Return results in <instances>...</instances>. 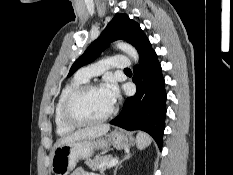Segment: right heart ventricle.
<instances>
[{"label": "right heart ventricle", "mask_w": 233, "mask_h": 175, "mask_svg": "<svg viewBox=\"0 0 233 175\" xmlns=\"http://www.w3.org/2000/svg\"><path fill=\"white\" fill-rule=\"evenodd\" d=\"M86 83V80L74 77L70 82H68L61 90L59 97L57 99L55 110H54V122L56 131L59 135H67L71 133L75 127L68 125L62 117V106L67 98V96L76 88Z\"/></svg>", "instance_id": "right-heart-ventricle-1"}]
</instances>
